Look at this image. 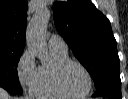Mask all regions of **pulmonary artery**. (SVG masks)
I'll list each match as a JSON object with an SVG mask.
<instances>
[{
    "label": "pulmonary artery",
    "mask_w": 128,
    "mask_h": 99,
    "mask_svg": "<svg viewBox=\"0 0 128 99\" xmlns=\"http://www.w3.org/2000/svg\"><path fill=\"white\" fill-rule=\"evenodd\" d=\"M48 46L52 50L59 52H67L68 46L66 42L59 35H52L48 41Z\"/></svg>",
    "instance_id": "1"
}]
</instances>
